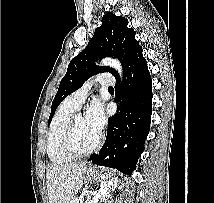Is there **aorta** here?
<instances>
[{
	"instance_id": "obj_1",
	"label": "aorta",
	"mask_w": 214,
	"mask_h": 203,
	"mask_svg": "<svg viewBox=\"0 0 214 203\" xmlns=\"http://www.w3.org/2000/svg\"><path fill=\"white\" fill-rule=\"evenodd\" d=\"M101 64L114 68L122 77V66L117 59L105 58L101 61Z\"/></svg>"
}]
</instances>
